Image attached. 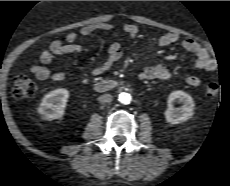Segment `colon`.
Wrapping results in <instances>:
<instances>
[{
  "label": "colon",
  "instance_id": "1",
  "mask_svg": "<svg viewBox=\"0 0 230 186\" xmlns=\"http://www.w3.org/2000/svg\"><path fill=\"white\" fill-rule=\"evenodd\" d=\"M36 85L32 79L25 74H19L13 82V95L17 99L32 97L36 93ZM219 85L216 82H210L206 85V94L210 97L217 95Z\"/></svg>",
  "mask_w": 230,
  "mask_h": 186
}]
</instances>
